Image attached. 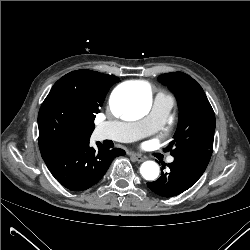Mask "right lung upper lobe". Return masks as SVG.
<instances>
[{
  "mask_svg": "<svg viewBox=\"0 0 250 250\" xmlns=\"http://www.w3.org/2000/svg\"><path fill=\"white\" fill-rule=\"evenodd\" d=\"M119 78L87 69L70 72L50 90L38 114L41 153L89 140L109 88Z\"/></svg>",
  "mask_w": 250,
  "mask_h": 250,
  "instance_id": "right-lung-upper-lobe-1",
  "label": "right lung upper lobe"
}]
</instances>
